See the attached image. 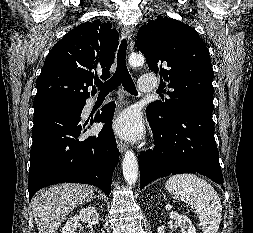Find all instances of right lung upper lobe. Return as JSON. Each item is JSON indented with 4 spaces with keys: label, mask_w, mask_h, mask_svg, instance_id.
<instances>
[{
    "label": "right lung upper lobe",
    "mask_w": 253,
    "mask_h": 233,
    "mask_svg": "<svg viewBox=\"0 0 253 233\" xmlns=\"http://www.w3.org/2000/svg\"><path fill=\"white\" fill-rule=\"evenodd\" d=\"M118 39L112 24L100 19L69 31L46 57L36 81L34 104L52 99L86 101L94 75L102 72V77L110 76Z\"/></svg>",
    "instance_id": "cb5924a9"
}]
</instances>
